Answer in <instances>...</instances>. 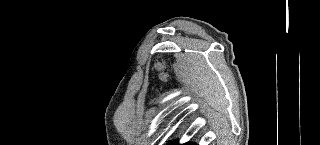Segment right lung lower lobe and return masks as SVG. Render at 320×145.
<instances>
[{"label":"right lung lower lobe","mask_w":320,"mask_h":145,"mask_svg":"<svg viewBox=\"0 0 320 145\" xmlns=\"http://www.w3.org/2000/svg\"><path fill=\"white\" fill-rule=\"evenodd\" d=\"M173 145H177L176 143H173ZM185 145H192V143H187Z\"/></svg>","instance_id":"obj_1"}]
</instances>
